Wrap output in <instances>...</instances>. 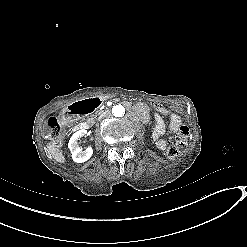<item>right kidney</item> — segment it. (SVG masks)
Wrapping results in <instances>:
<instances>
[{
    "instance_id": "1",
    "label": "right kidney",
    "mask_w": 247,
    "mask_h": 247,
    "mask_svg": "<svg viewBox=\"0 0 247 247\" xmlns=\"http://www.w3.org/2000/svg\"><path fill=\"white\" fill-rule=\"evenodd\" d=\"M87 136V130L81 129L76 131L70 138L68 143V148L70 149L72 159L76 163H83L89 160L93 154L92 147H87L85 150H83L79 145L78 141L82 137Z\"/></svg>"
}]
</instances>
